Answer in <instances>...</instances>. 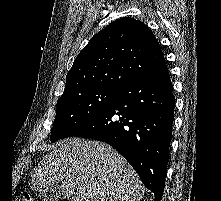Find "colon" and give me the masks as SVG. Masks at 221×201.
Here are the masks:
<instances>
[{
    "instance_id": "colon-1",
    "label": "colon",
    "mask_w": 221,
    "mask_h": 201,
    "mask_svg": "<svg viewBox=\"0 0 221 201\" xmlns=\"http://www.w3.org/2000/svg\"><path fill=\"white\" fill-rule=\"evenodd\" d=\"M17 201H33L31 196L27 193L22 194Z\"/></svg>"
}]
</instances>
